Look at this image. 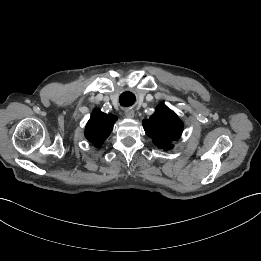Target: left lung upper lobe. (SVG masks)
I'll return each instance as SVG.
<instances>
[{
	"instance_id": "5c2ea615",
	"label": "left lung upper lobe",
	"mask_w": 261,
	"mask_h": 261,
	"mask_svg": "<svg viewBox=\"0 0 261 261\" xmlns=\"http://www.w3.org/2000/svg\"><path fill=\"white\" fill-rule=\"evenodd\" d=\"M143 127L153 143L164 150L172 149V143L180 138L183 131L181 120L164 104L158 105L149 120L143 121Z\"/></svg>"
}]
</instances>
